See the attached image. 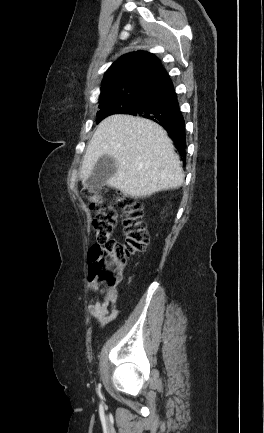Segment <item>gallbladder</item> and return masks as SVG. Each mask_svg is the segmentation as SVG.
I'll return each instance as SVG.
<instances>
[{
	"label": "gallbladder",
	"instance_id": "bac80fb5",
	"mask_svg": "<svg viewBox=\"0 0 264 433\" xmlns=\"http://www.w3.org/2000/svg\"><path fill=\"white\" fill-rule=\"evenodd\" d=\"M117 172V163L113 157L103 155L96 163L91 175L83 182L88 189H100Z\"/></svg>",
	"mask_w": 264,
	"mask_h": 433
}]
</instances>
